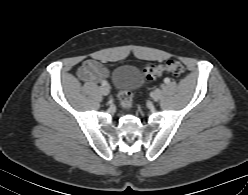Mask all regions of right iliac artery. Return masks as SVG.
Here are the masks:
<instances>
[{"label":"right iliac artery","instance_id":"right-iliac-artery-1","mask_svg":"<svg viewBox=\"0 0 248 195\" xmlns=\"http://www.w3.org/2000/svg\"><path fill=\"white\" fill-rule=\"evenodd\" d=\"M102 85H103V86L107 85V82H106V81H103V82H102Z\"/></svg>","mask_w":248,"mask_h":195}]
</instances>
